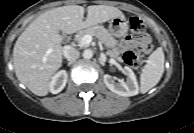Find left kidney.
Masks as SVG:
<instances>
[{"label":"left kidney","instance_id":"1","mask_svg":"<svg viewBox=\"0 0 194 133\" xmlns=\"http://www.w3.org/2000/svg\"><path fill=\"white\" fill-rule=\"evenodd\" d=\"M127 76L126 81L116 83L114 78L108 74L104 75V83L107 88L120 96H135L139 93V87L134 72L129 67H124Z\"/></svg>","mask_w":194,"mask_h":133}]
</instances>
